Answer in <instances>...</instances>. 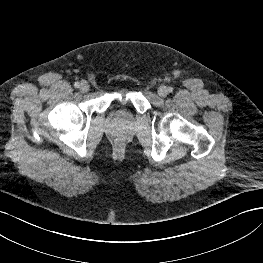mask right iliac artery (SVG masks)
I'll use <instances>...</instances> for the list:
<instances>
[{"mask_svg":"<svg viewBox=\"0 0 263 263\" xmlns=\"http://www.w3.org/2000/svg\"><path fill=\"white\" fill-rule=\"evenodd\" d=\"M74 87H75V88H79V87H80L79 82H75Z\"/></svg>","mask_w":263,"mask_h":263,"instance_id":"82829eb1","label":"right iliac artery"}]
</instances>
